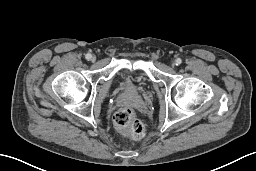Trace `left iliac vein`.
Returning a JSON list of instances; mask_svg holds the SVG:
<instances>
[{
    "instance_id": "4c4485c4",
    "label": "left iliac vein",
    "mask_w": 256,
    "mask_h": 171,
    "mask_svg": "<svg viewBox=\"0 0 256 171\" xmlns=\"http://www.w3.org/2000/svg\"><path fill=\"white\" fill-rule=\"evenodd\" d=\"M175 65H176V61L173 62V66H175Z\"/></svg>"
}]
</instances>
